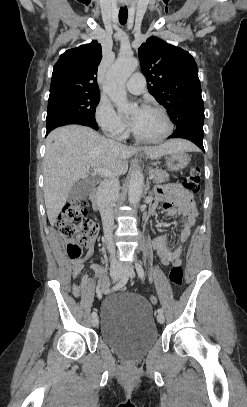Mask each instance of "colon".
Instances as JSON below:
<instances>
[{
	"label": "colon",
	"mask_w": 247,
	"mask_h": 407,
	"mask_svg": "<svg viewBox=\"0 0 247 407\" xmlns=\"http://www.w3.org/2000/svg\"><path fill=\"white\" fill-rule=\"evenodd\" d=\"M183 187L190 193H198L200 190V169L192 165L186 172ZM87 209L85 202L81 199L70 201L59 214L56 225L65 243L70 258L77 259L82 253L83 246L91 245L98 233L95 222L86 218ZM172 284L180 286L183 282V270L180 264H173L168 274ZM156 296L150 297V302L156 304Z\"/></svg>",
	"instance_id": "5ec220e1"
}]
</instances>
